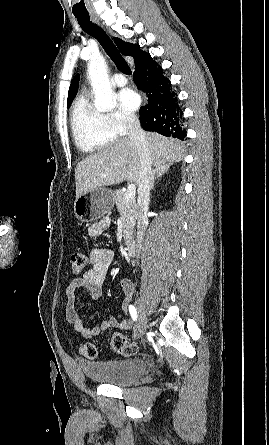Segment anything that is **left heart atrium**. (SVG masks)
<instances>
[{
  "mask_svg": "<svg viewBox=\"0 0 269 445\" xmlns=\"http://www.w3.org/2000/svg\"><path fill=\"white\" fill-rule=\"evenodd\" d=\"M121 105L129 111H134L140 104V97L131 89H124L119 94Z\"/></svg>",
  "mask_w": 269,
  "mask_h": 445,
  "instance_id": "39dd6f15",
  "label": "left heart atrium"
}]
</instances>
